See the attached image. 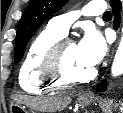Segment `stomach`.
<instances>
[{
	"label": "stomach",
	"mask_w": 123,
	"mask_h": 113,
	"mask_svg": "<svg viewBox=\"0 0 123 113\" xmlns=\"http://www.w3.org/2000/svg\"><path fill=\"white\" fill-rule=\"evenodd\" d=\"M93 100V97L91 96H85V95H79L78 96V101L82 106H87L89 105ZM10 111L11 113H27L26 109L22 107L19 103L17 102H11L10 103Z\"/></svg>",
	"instance_id": "0dacf381"
}]
</instances>
